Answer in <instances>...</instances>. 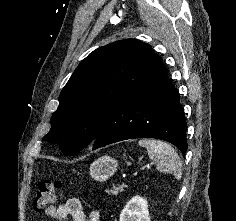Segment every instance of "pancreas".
Listing matches in <instances>:
<instances>
[{
  "label": "pancreas",
  "mask_w": 236,
  "mask_h": 221,
  "mask_svg": "<svg viewBox=\"0 0 236 221\" xmlns=\"http://www.w3.org/2000/svg\"><path fill=\"white\" fill-rule=\"evenodd\" d=\"M123 188L122 187H113V189H108L107 193L110 195H117L118 192H122Z\"/></svg>",
  "instance_id": "pancreas-1"
}]
</instances>
